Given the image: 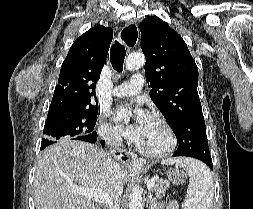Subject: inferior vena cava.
I'll return each mask as SVG.
<instances>
[{
    "mask_svg": "<svg viewBox=\"0 0 253 209\" xmlns=\"http://www.w3.org/2000/svg\"><path fill=\"white\" fill-rule=\"evenodd\" d=\"M106 142L110 147L117 148L121 146L122 138L117 131L112 130L108 132V134L106 135ZM107 163H108V166H107L108 175L112 177V180H111L112 191H113L112 196L114 197L115 200H117V198L121 194L120 168H119V165L111 159H108ZM113 209H119L118 205L116 204Z\"/></svg>",
    "mask_w": 253,
    "mask_h": 209,
    "instance_id": "obj_1",
    "label": "inferior vena cava"
}]
</instances>
